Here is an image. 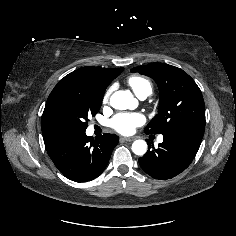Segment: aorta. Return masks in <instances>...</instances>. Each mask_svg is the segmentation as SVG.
<instances>
[{
	"label": "aorta",
	"instance_id": "aorta-1",
	"mask_svg": "<svg viewBox=\"0 0 236 236\" xmlns=\"http://www.w3.org/2000/svg\"><path fill=\"white\" fill-rule=\"evenodd\" d=\"M134 101L132 94L124 90L116 91L110 97V105L119 110L129 108ZM132 151L136 155H144L147 151V143L144 140H135L132 144Z\"/></svg>",
	"mask_w": 236,
	"mask_h": 236
}]
</instances>
